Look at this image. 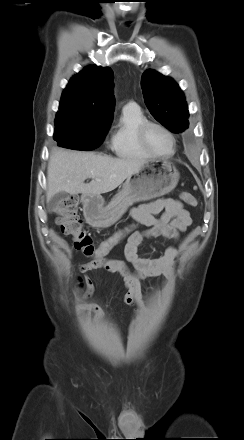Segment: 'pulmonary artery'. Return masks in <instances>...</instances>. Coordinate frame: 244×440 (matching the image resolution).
Listing matches in <instances>:
<instances>
[{"mask_svg":"<svg viewBox=\"0 0 244 440\" xmlns=\"http://www.w3.org/2000/svg\"><path fill=\"white\" fill-rule=\"evenodd\" d=\"M136 107H137V105L134 102H129L124 106V108H128V109L136 108Z\"/></svg>","mask_w":244,"mask_h":440,"instance_id":"e3ab8cb5","label":"pulmonary artery"}]
</instances>
